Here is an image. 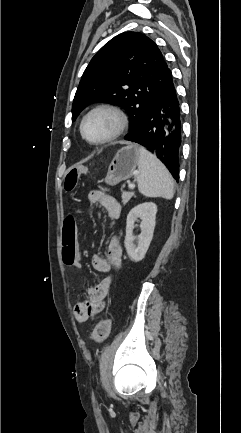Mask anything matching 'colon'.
<instances>
[{
	"label": "colon",
	"instance_id": "5ec220e1",
	"mask_svg": "<svg viewBox=\"0 0 241 433\" xmlns=\"http://www.w3.org/2000/svg\"><path fill=\"white\" fill-rule=\"evenodd\" d=\"M71 172H66L63 181L61 182V189L65 194L70 190H77L80 185V177H87V168H77V164L70 166ZM64 231L62 236V259L67 265H73L77 259V251L80 250L79 236L80 231L77 228L75 212H65L63 215ZM112 326L110 317L103 318L95 327L91 334V340L94 343L103 342L109 335Z\"/></svg>",
	"mask_w": 241,
	"mask_h": 433
}]
</instances>
